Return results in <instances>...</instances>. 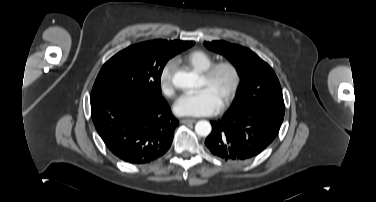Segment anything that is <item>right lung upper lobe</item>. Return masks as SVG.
Segmentation results:
<instances>
[{"instance_id":"obj_1","label":"right lung upper lobe","mask_w":376,"mask_h":202,"mask_svg":"<svg viewBox=\"0 0 376 202\" xmlns=\"http://www.w3.org/2000/svg\"><path fill=\"white\" fill-rule=\"evenodd\" d=\"M177 41H180V40L169 41V42H177ZM169 42L166 40H154V41H149L145 43L150 44V46H152L153 48L159 49Z\"/></svg>"}]
</instances>
